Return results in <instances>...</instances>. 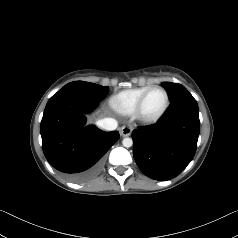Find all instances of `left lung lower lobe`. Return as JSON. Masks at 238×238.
I'll list each match as a JSON object with an SVG mask.
<instances>
[{
	"mask_svg": "<svg viewBox=\"0 0 238 238\" xmlns=\"http://www.w3.org/2000/svg\"><path fill=\"white\" fill-rule=\"evenodd\" d=\"M199 131L198 105L186 92L172 101L158 123L132 132L133 156L138 167L155 180L176 177L193 159Z\"/></svg>",
	"mask_w": 238,
	"mask_h": 238,
	"instance_id": "obj_1",
	"label": "left lung lower lobe"
}]
</instances>
